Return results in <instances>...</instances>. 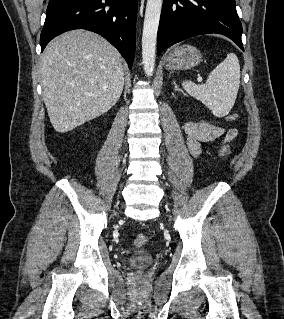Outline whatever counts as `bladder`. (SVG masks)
<instances>
[{
	"label": "bladder",
	"mask_w": 284,
	"mask_h": 319,
	"mask_svg": "<svg viewBox=\"0 0 284 319\" xmlns=\"http://www.w3.org/2000/svg\"><path fill=\"white\" fill-rule=\"evenodd\" d=\"M129 264L135 268H147L153 263V256L150 252L140 250L134 252L129 260Z\"/></svg>",
	"instance_id": "obj_1"
}]
</instances>
